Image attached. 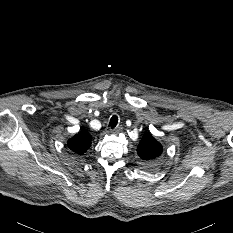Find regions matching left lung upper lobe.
I'll list each match as a JSON object with an SVG mask.
<instances>
[{"instance_id":"obj_1","label":"left lung upper lobe","mask_w":233,"mask_h":233,"mask_svg":"<svg viewBox=\"0 0 233 233\" xmlns=\"http://www.w3.org/2000/svg\"><path fill=\"white\" fill-rule=\"evenodd\" d=\"M162 152V145L150 133H145L137 147L138 156L143 160L144 166L149 169L157 167Z\"/></svg>"}]
</instances>
